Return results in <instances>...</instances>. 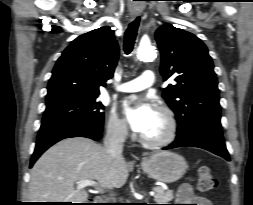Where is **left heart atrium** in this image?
<instances>
[{
  "label": "left heart atrium",
  "mask_w": 253,
  "mask_h": 205,
  "mask_svg": "<svg viewBox=\"0 0 253 205\" xmlns=\"http://www.w3.org/2000/svg\"><path fill=\"white\" fill-rule=\"evenodd\" d=\"M155 113L154 106L147 100L125 106L126 118L132 130L139 134L148 128Z\"/></svg>",
  "instance_id": "left-heart-atrium-1"
}]
</instances>
